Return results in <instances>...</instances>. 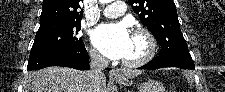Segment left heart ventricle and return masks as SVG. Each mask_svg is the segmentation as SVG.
Listing matches in <instances>:
<instances>
[{"label":"left heart ventricle","instance_id":"b2bd125f","mask_svg":"<svg viewBox=\"0 0 225 92\" xmlns=\"http://www.w3.org/2000/svg\"><path fill=\"white\" fill-rule=\"evenodd\" d=\"M147 51L145 40L140 36H131L128 51L124 57L126 60L140 59Z\"/></svg>","mask_w":225,"mask_h":92}]
</instances>
